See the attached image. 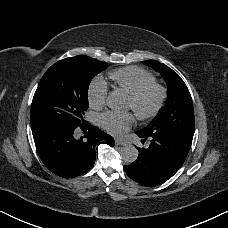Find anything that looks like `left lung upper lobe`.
<instances>
[{
	"mask_svg": "<svg viewBox=\"0 0 228 228\" xmlns=\"http://www.w3.org/2000/svg\"><path fill=\"white\" fill-rule=\"evenodd\" d=\"M142 63L161 74L168 86V97L160 115L141 130L193 137L195 130L193 103L184 81L175 71L158 61L147 60Z\"/></svg>",
	"mask_w": 228,
	"mask_h": 228,
	"instance_id": "1",
	"label": "left lung upper lobe"
}]
</instances>
